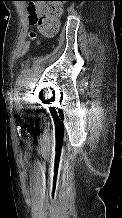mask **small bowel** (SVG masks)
<instances>
[{
  "label": "small bowel",
  "instance_id": "small-bowel-1",
  "mask_svg": "<svg viewBox=\"0 0 122 218\" xmlns=\"http://www.w3.org/2000/svg\"><path fill=\"white\" fill-rule=\"evenodd\" d=\"M34 10L40 14L42 12V5L40 3L35 4Z\"/></svg>",
  "mask_w": 122,
  "mask_h": 218
}]
</instances>
